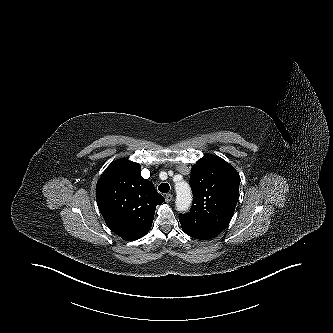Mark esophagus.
Returning a JSON list of instances; mask_svg holds the SVG:
<instances>
[{
  "mask_svg": "<svg viewBox=\"0 0 333 333\" xmlns=\"http://www.w3.org/2000/svg\"><path fill=\"white\" fill-rule=\"evenodd\" d=\"M173 199V195L172 194H166L165 196V200L167 203L171 202Z\"/></svg>",
  "mask_w": 333,
  "mask_h": 333,
  "instance_id": "34e87169",
  "label": "esophagus"
}]
</instances>
